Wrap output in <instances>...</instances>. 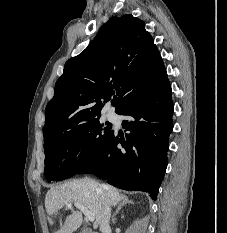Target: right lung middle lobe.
Here are the masks:
<instances>
[{
    "mask_svg": "<svg viewBox=\"0 0 227 233\" xmlns=\"http://www.w3.org/2000/svg\"><path fill=\"white\" fill-rule=\"evenodd\" d=\"M112 125L99 118L84 123L44 145L48 182L69 178L89 165L112 134Z\"/></svg>",
    "mask_w": 227,
    "mask_h": 233,
    "instance_id": "obj_1",
    "label": "right lung middle lobe"
}]
</instances>
